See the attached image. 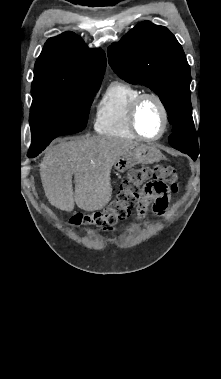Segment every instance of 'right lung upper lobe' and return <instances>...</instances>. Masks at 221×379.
<instances>
[{"mask_svg": "<svg viewBox=\"0 0 221 379\" xmlns=\"http://www.w3.org/2000/svg\"><path fill=\"white\" fill-rule=\"evenodd\" d=\"M105 68L101 49H90L75 33L65 32L45 43L35 63L31 94L100 87Z\"/></svg>", "mask_w": 221, "mask_h": 379, "instance_id": "cb5924a9", "label": "right lung upper lobe"}]
</instances>
